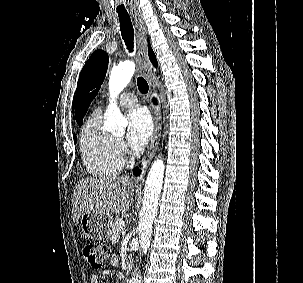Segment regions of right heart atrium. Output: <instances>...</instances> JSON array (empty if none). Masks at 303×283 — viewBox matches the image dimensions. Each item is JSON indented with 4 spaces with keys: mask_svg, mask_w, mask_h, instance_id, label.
Wrapping results in <instances>:
<instances>
[{
    "mask_svg": "<svg viewBox=\"0 0 303 283\" xmlns=\"http://www.w3.org/2000/svg\"><path fill=\"white\" fill-rule=\"evenodd\" d=\"M117 147H118L119 151L121 152V154L124 155L127 153V148L122 141H117Z\"/></svg>",
    "mask_w": 303,
    "mask_h": 283,
    "instance_id": "right-heart-atrium-1",
    "label": "right heart atrium"
}]
</instances>
